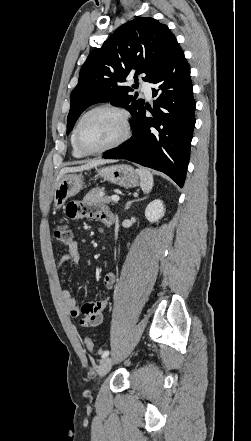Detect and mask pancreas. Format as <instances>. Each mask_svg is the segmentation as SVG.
I'll return each instance as SVG.
<instances>
[{
  "instance_id": "1",
  "label": "pancreas",
  "mask_w": 251,
  "mask_h": 441,
  "mask_svg": "<svg viewBox=\"0 0 251 441\" xmlns=\"http://www.w3.org/2000/svg\"><path fill=\"white\" fill-rule=\"evenodd\" d=\"M104 188H93L90 190L86 196L85 200L95 202V203H106L109 204L110 202H113L110 197L108 196H102L101 193H103Z\"/></svg>"
}]
</instances>
